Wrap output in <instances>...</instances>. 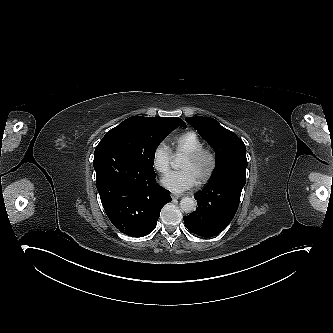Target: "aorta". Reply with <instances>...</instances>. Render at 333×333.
Returning a JSON list of instances; mask_svg holds the SVG:
<instances>
[{"instance_id":"1","label":"aorta","mask_w":333,"mask_h":333,"mask_svg":"<svg viewBox=\"0 0 333 333\" xmlns=\"http://www.w3.org/2000/svg\"><path fill=\"white\" fill-rule=\"evenodd\" d=\"M180 208L186 213H191L196 209V201L191 197H183L180 201Z\"/></svg>"}]
</instances>
